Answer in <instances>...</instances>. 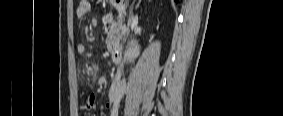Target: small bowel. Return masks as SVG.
<instances>
[{
	"label": "small bowel",
	"mask_w": 283,
	"mask_h": 116,
	"mask_svg": "<svg viewBox=\"0 0 283 116\" xmlns=\"http://www.w3.org/2000/svg\"><path fill=\"white\" fill-rule=\"evenodd\" d=\"M91 6L90 2L87 0L79 1L78 7L76 9V15L79 18L85 17L90 12ZM77 52L81 55L86 54V47L84 44L80 43L76 47ZM96 103V96L94 94H90L85 102L84 108L86 110H91L94 108ZM104 109L109 111V115L116 116L117 115V106L114 100H109L105 105Z\"/></svg>",
	"instance_id": "small-bowel-1"
}]
</instances>
